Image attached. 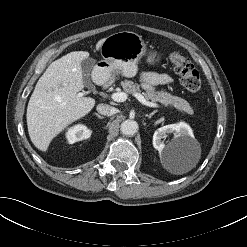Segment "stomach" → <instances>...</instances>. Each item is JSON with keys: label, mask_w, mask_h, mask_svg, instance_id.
<instances>
[{"label": "stomach", "mask_w": 247, "mask_h": 247, "mask_svg": "<svg viewBox=\"0 0 247 247\" xmlns=\"http://www.w3.org/2000/svg\"><path fill=\"white\" fill-rule=\"evenodd\" d=\"M147 48L142 36L135 32L122 31L105 38L101 48L102 60L94 68V75L102 80L109 79L113 73L133 77L138 70V61L146 54ZM161 60L157 52L147 55V63L155 65Z\"/></svg>", "instance_id": "obj_1"}]
</instances>
